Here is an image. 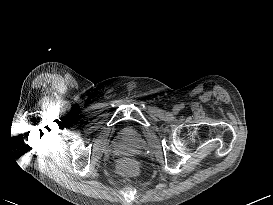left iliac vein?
<instances>
[{"label": "left iliac vein", "instance_id": "1", "mask_svg": "<svg viewBox=\"0 0 273 205\" xmlns=\"http://www.w3.org/2000/svg\"><path fill=\"white\" fill-rule=\"evenodd\" d=\"M173 111L176 113V112L179 111V108H178V107H175V108L173 109Z\"/></svg>", "mask_w": 273, "mask_h": 205}]
</instances>
